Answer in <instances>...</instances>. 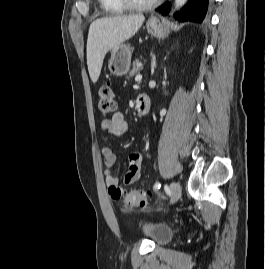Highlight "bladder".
<instances>
[{"label": "bladder", "instance_id": "1", "mask_svg": "<svg viewBox=\"0 0 265 269\" xmlns=\"http://www.w3.org/2000/svg\"><path fill=\"white\" fill-rule=\"evenodd\" d=\"M137 226L141 234L157 246L167 244L173 237L172 228L166 224L139 220Z\"/></svg>", "mask_w": 265, "mask_h": 269}]
</instances>
